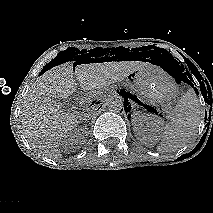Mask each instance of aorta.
I'll list each match as a JSON object with an SVG mask.
<instances>
[{"instance_id": "obj_1", "label": "aorta", "mask_w": 213, "mask_h": 213, "mask_svg": "<svg viewBox=\"0 0 213 213\" xmlns=\"http://www.w3.org/2000/svg\"><path fill=\"white\" fill-rule=\"evenodd\" d=\"M106 106L109 111L120 112L123 108V99L118 94L111 95L106 99Z\"/></svg>"}]
</instances>
